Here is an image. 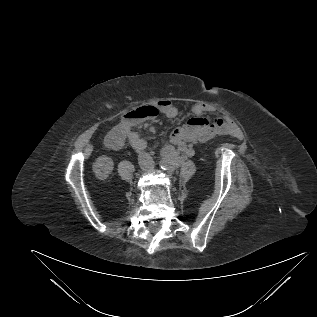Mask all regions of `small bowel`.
<instances>
[{
    "label": "small bowel",
    "mask_w": 317,
    "mask_h": 317,
    "mask_svg": "<svg viewBox=\"0 0 317 317\" xmlns=\"http://www.w3.org/2000/svg\"><path fill=\"white\" fill-rule=\"evenodd\" d=\"M160 112L169 119H174L179 115V109L171 100L163 99L157 103ZM211 108L204 103H195L191 106L192 117L183 125L176 127L170 137V144L162 149V154L170 158L187 159L194 156L193 146L211 140L219 134H233L237 131L234 125H229L222 117L210 119L205 116ZM135 123L129 120L121 122L108 136L106 144L113 135L122 137V144L126 139L136 150H143L147 143L134 131ZM177 150L180 152H177ZM111 148V147H110ZM113 149V148H112Z\"/></svg>",
    "instance_id": "small-bowel-1"
}]
</instances>
